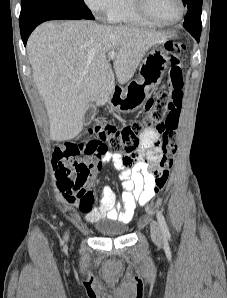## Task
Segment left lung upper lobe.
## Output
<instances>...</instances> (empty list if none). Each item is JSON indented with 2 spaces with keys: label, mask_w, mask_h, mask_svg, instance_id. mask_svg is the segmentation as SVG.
<instances>
[{
  "label": "left lung upper lobe",
  "mask_w": 227,
  "mask_h": 298,
  "mask_svg": "<svg viewBox=\"0 0 227 298\" xmlns=\"http://www.w3.org/2000/svg\"><path fill=\"white\" fill-rule=\"evenodd\" d=\"M188 13L184 19V28L193 36L197 37L201 34V9L203 0H182Z\"/></svg>",
  "instance_id": "1"
}]
</instances>
